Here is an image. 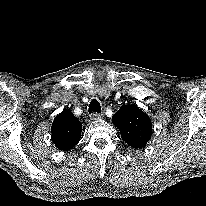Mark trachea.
Returning <instances> with one entry per match:
<instances>
[{"mask_svg":"<svg viewBox=\"0 0 206 206\" xmlns=\"http://www.w3.org/2000/svg\"><path fill=\"white\" fill-rule=\"evenodd\" d=\"M89 114L92 113H101V106L98 100L93 99L89 104Z\"/></svg>","mask_w":206,"mask_h":206,"instance_id":"1","label":"trachea"}]
</instances>
